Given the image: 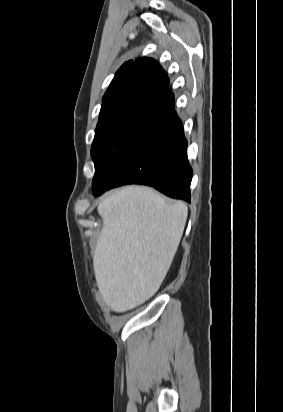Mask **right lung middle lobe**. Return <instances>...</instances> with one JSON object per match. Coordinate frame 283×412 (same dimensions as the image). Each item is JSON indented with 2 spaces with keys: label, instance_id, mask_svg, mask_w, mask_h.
<instances>
[{
  "label": "right lung middle lobe",
  "instance_id": "right-lung-middle-lobe-1",
  "mask_svg": "<svg viewBox=\"0 0 283 412\" xmlns=\"http://www.w3.org/2000/svg\"><path fill=\"white\" fill-rule=\"evenodd\" d=\"M163 113L122 114L99 120L91 155L95 165L93 183L102 177L132 146L143 132L159 121Z\"/></svg>",
  "mask_w": 283,
  "mask_h": 412
}]
</instances>
